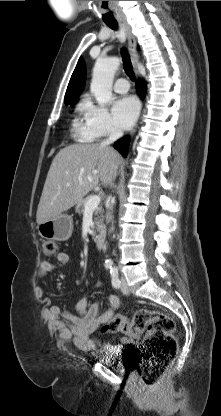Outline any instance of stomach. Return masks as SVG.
<instances>
[{
    "label": "stomach",
    "mask_w": 221,
    "mask_h": 416,
    "mask_svg": "<svg viewBox=\"0 0 221 416\" xmlns=\"http://www.w3.org/2000/svg\"><path fill=\"white\" fill-rule=\"evenodd\" d=\"M37 229L42 238L66 241L72 235L73 219L67 214H60L54 219L38 224Z\"/></svg>",
    "instance_id": "0dacf381"
}]
</instances>
